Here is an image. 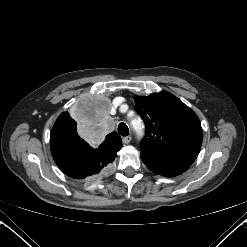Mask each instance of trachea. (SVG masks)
Instances as JSON below:
<instances>
[{
  "label": "trachea",
  "mask_w": 247,
  "mask_h": 247,
  "mask_svg": "<svg viewBox=\"0 0 247 247\" xmlns=\"http://www.w3.org/2000/svg\"><path fill=\"white\" fill-rule=\"evenodd\" d=\"M118 133L121 135V136H127L129 134V128L128 126L125 124V123H120L118 125Z\"/></svg>",
  "instance_id": "obj_1"
}]
</instances>
